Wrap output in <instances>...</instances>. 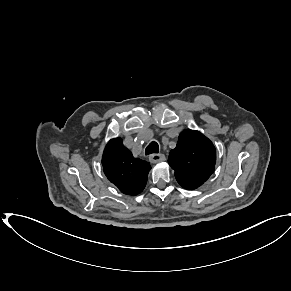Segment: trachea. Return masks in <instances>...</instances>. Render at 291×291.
I'll list each match as a JSON object with an SVG mask.
<instances>
[{
	"label": "trachea",
	"mask_w": 291,
	"mask_h": 291,
	"mask_svg": "<svg viewBox=\"0 0 291 291\" xmlns=\"http://www.w3.org/2000/svg\"><path fill=\"white\" fill-rule=\"evenodd\" d=\"M159 152V146L157 142L152 141L145 149V155L155 154Z\"/></svg>",
	"instance_id": "1"
}]
</instances>
